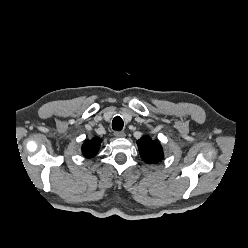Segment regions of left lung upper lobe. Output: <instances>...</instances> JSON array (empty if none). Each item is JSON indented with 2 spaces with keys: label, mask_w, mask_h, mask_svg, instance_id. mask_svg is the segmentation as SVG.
<instances>
[{
  "label": "left lung upper lobe",
  "mask_w": 248,
  "mask_h": 248,
  "mask_svg": "<svg viewBox=\"0 0 248 248\" xmlns=\"http://www.w3.org/2000/svg\"><path fill=\"white\" fill-rule=\"evenodd\" d=\"M141 158L146 163L155 164L164 158L162 146L159 141L152 140L148 136H144L137 141Z\"/></svg>",
  "instance_id": "5c2ea615"
}]
</instances>
